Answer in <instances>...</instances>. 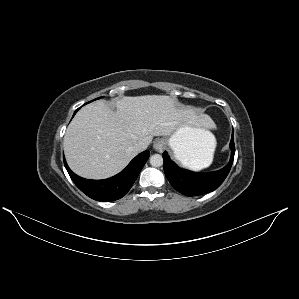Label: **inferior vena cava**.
Here are the masks:
<instances>
[{
	"instance_id": "1",
	"label": "inferior vena cava",
	"mask_w": 299,
	"mask_h": 299,
	"mask_svg": "<svg viewBox=\"0 0 299 299\" xmlns=\"http://www.w3.org/2000/svg\"><path fill=\"white\" fill-rule=\"evenodd\" d=\"M147 148V144L140 141V142H137L135 145H134V150L136 152H141V151H144L145 149Z\"/></svg>"
}]
</instances>
